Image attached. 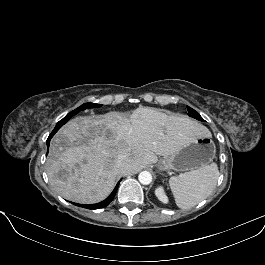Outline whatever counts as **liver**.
I'll return each mask as SVG.
<instances>
[{
	"label": "liver",
	"instance_id": "6515ba94",
	"mask_svg": "<svg viewBox=\"0 0 265 265\" xmlns=\"http://www.w3.org/2000/svg\"><path fill=\"white\" fill-rule=\"evenodd\" d=\"M207 133L190 118L151 107H139L129 117L119 112L77 117L52 141L46 161L49 182L67 200L97 203L111 193L117 175L134 174L156 163L157 155L173 154L185 138ZM119 157L124 168L118 167Z\"/></svg>",
	"mask_w": 265,
	"mask_h": 265
}]
</instances>
